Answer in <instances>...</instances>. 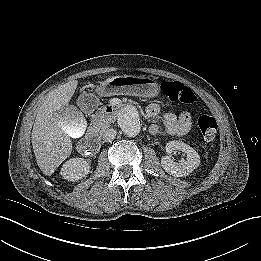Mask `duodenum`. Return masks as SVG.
<instances>
[{
	"mask_svg": "<svg viewBox=\"0 0 261 261\" xmlns=\"http://www.w3.org/2000/svg\"><path fill=\"white\" fill-rule=\"evenodd\" d=\"M103 119L112 121L115 119V110L111 106L104 108ZM104 121L97 120L95 126L90 130L87 137L78 145V150L83 155H91L97 152L101 147L100 129L103 127Z\"/></svg>",
	"mask_w": 261,
	"mask_h": 261,
	"instance_id": "obj_1",
	"label": "duodenum"
}]
</instances>
